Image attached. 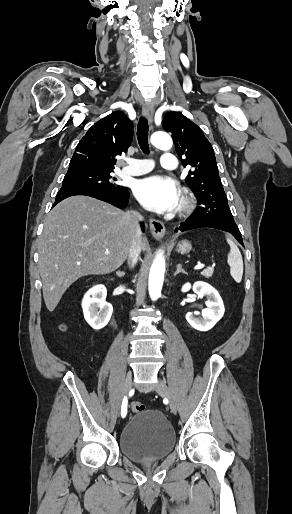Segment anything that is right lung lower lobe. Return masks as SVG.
Listing matches in <instances>:
<instances>
[{
    "label": "right lung lower lobe",
    "mask_w": 292,
    "mask_h": 514,
    "mask_svg": "<svg viewBox=\"0 0 292 514\" xmlns=\"http://www.w3.org/2000/svg\"><path fill=\"white\" fill-rule=\"evenodd\" d=\"M75 195H85L90 196L107 203H110L118 208H124L128 205V199L130 194L126 187L117 190H105L100 188L86 187V186H67L62 187L55 199V206L57 203L62 201L63 199L75 196ZM141 228L144 231V224L141 223Z\"/></svg>",
    "instance_id": "obj_1"
}]
</instances>
